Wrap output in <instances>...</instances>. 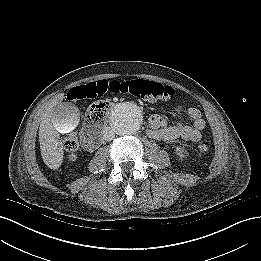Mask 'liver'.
Here are the masks:
<instances>
[{
  "instance_id": "6515ba94",
  "label": "liver",
  "mask_w": 261,
  "mask_h": 261,
  "mask_svg": "<svg viewBox=\"0 0 261 261\" xmlns=\"http://www.w3.org/2000/svg\"><path fill=\"white\" fill-rule=\"evenodd\" d=\"M63 99L64 93H59L48 102L39 126L42 159L53 170L58 169L63 161V146L59 133L72 131L79 122L78 110L77 115L70 118L69 121H64L56 117L54 108L61 104Z\"/></svg>"
}]
</instances>
